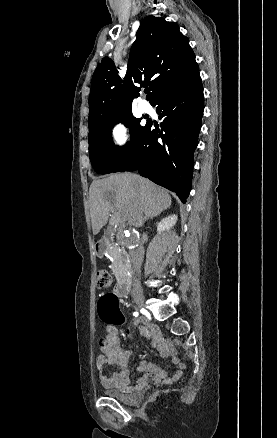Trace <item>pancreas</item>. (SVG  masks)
Wrapping results in <instances>:
<instances>
[{"mask_svg":"<svg viewBox=\"0 0 277 438\" xmlns=\"http://www.w3.org/2000/svg\"><path fill=\"white\" fill-rule=\"evenodd\" d=\"M115 238V231H106L105 235L96 240V244H101V246L103 247L101 253H109V269L121 270L122 267H125L126 261L123 251H117L118 248L114 241Z\"/></svg>","mask_w":277,"mask_h":438,"instance_id":"pancreas-1","label":"pancreas"}]
</instances>
